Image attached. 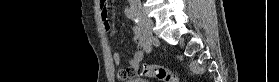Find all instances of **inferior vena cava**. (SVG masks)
I'll return each instance as SVG.
<instances>
[{"instance_id": "obj_1", "label": "inferior vena cava", "mask_w": 279, "mask_h": 82, "mask_svg": "<svg viewBox=\"0 0 279 82\" xmlns=\"http://www.w3.org/2000/svg\"><path fill=\"white\" fill-rule=\"evenodd\" d=\"M136 2H140V0H136Z\"/></svg>"}]
</instances>
